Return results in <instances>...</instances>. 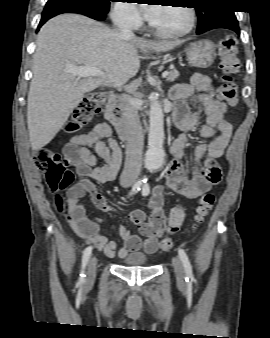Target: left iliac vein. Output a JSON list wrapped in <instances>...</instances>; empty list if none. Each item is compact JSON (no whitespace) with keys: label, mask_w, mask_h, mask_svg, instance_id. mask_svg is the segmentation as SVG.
<instances>
[{"label":"left iliac vein","mask_w":270,"mask_h":338,"mask_svg":"<svg viewBox=\"0 0 270 338\" xmlns=\"http://www.w3.org/2000/svg\"><path fill=\"white\" fill-rule=\"evenodd\" d=\"M172 265L174 267L177 280L182 283L185 279V269L183 263L177 256H174L172 258Z\"/></svg>","instance_id":"obj_1"}]
</instances>
